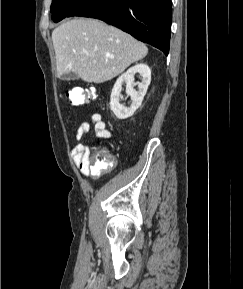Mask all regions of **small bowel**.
<instances>
[{"mask_svg":"<svg viewBox=\"0 0 243 289\" xmlns=\"http://www.w3.org/2000/svg\"><path fill=\"white\" fill-rule=\"evenodd\" d=\"M91 126L94 127L95 135L98 140L112 138V132L107 128L100 113H93L90 116L89 121H83L78 126L75 134L77 144L72 150V157L81 174L85 177H89L94 173L90 166V147L83 142V139L89 133ZM95 144H98V141H96Z\"/></svg>","mask_w":243,"mask_h":289,"instance_id":"obj_1","label":"small bowel"}]
</instances>
